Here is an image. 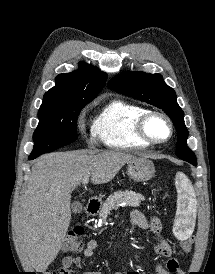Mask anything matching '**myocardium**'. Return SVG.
<instances>
[{
	"instance_id": "f54148a6",
	"label": "myocardium",
	"mask_w": 215,
	"mask_h": 274,
	"mask_svg": "<svg viewBox=\"0 0 215 274\" xmlns=\"http://www.w3.org/2000/svg\"><path fill=\"white\" fill-rule=\"evenodd\" d=\"M153 118L163 119L169 128V135L163 140L154 139L148 132V124ZM136 132L137 135L149 145H162L171 140L174 134V125L169 116L160 111H147L144 113L136 123Z\"/></svg>"
}]
</instances>
